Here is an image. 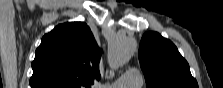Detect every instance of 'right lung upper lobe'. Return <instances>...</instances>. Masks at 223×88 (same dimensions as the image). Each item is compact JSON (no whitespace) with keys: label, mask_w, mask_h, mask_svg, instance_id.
Masks as SVG:
<instances>
[{"label":"right lung upper lobe","mask_w":223,"mask_h":88,"mask_svg":"<svg viewBox=\"0 0 223 88\" xmlns=\"http://www.w3.org/2000/svg\"><path fill=\"white\" fill-rule=\"evenodd\" d=\"M100 54L84 22L60 24L43 36L35 52L31 88H90L100 79Z\"/></svg>","instance_id":"1"}]
</instances>
